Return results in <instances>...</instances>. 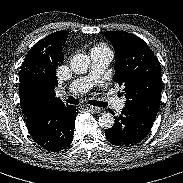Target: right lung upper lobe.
Listing matches in <instances>:
<instances>
[{
    "label": "right lung upper lobe",
    "instance_id": "cb5924a9",
    "mask_svg": "<svg viewBox=\"0 0 183 183\" xmlns=\"http://www.w3.org/2000/svg\"><path fill=\"white\" fill-rule=\"evenodd\" d=\"M67 31H57L37 42L26 55L19 74L20 104L26 116L32 109L42 105L64 106L55 97L57 83L56 67L63 60L62 48Z\"/></svg>",
    "mask_w": 183,
    "mask_h": 183
}]
</instances>
